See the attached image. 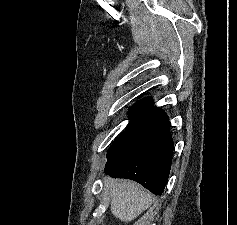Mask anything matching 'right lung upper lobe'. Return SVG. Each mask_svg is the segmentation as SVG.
I'll return each instance as SVG.
<instances>
[{
	"mask_svg": "<svg viewBox=\"0 0 237 225\" xmlns=\"http://www.w3.org/2000/svg\"><path fill=\"white\" fill-rule=\"evenodd\" d=\"M153 108L154 106H153L152 98L148 97L139 101L137 104L131 107L128 115L130 117V120H133L141 116L142 114L150 111Z\"/></svg>",
	"mask_w": 237,
	"mask_h": 225,
	"instance_id": "cb5924a9",
	"label": "right lung upper lobe"
}]
</instances>
